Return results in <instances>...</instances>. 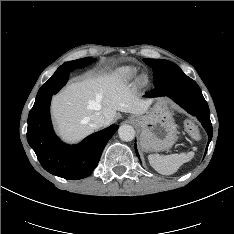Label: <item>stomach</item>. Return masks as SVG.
Wrapping results in <instances>:
<instances>
[{"instance_id": "0dacf381", "label": "stomach", "mask_w": 234, "mask_h": 234, "mask_svg": "<svg viewBox=\"0 0 234 234\" xmlns=\"http://www.w3.org/2000/svg\"><path fill=\"white\" fill-rule=\"evenodd\" d=\"M141 128L140 148L144 152L168 150L177 139V125L164 100H158L146 115L132 116Z\"/></svg>"}]
</instances>
